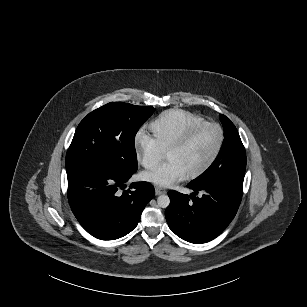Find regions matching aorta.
<instances>
[{
  "label": "aorta",
  "instance_id": "obj_1",
  "mask_svg": "<svg viewBox=\"0 0 307 307\" xmlns=\"http://www.w3.org/2000/svg\"><path fill=\"white\" fill-rule=\"evenodd\" d=\"M157 203L160 207L166 208L170 204V198L167 195H160L157 199Z\"/></svg>",
  "mask_w": 307,
  "mask_h": 307
}]
</instances>
